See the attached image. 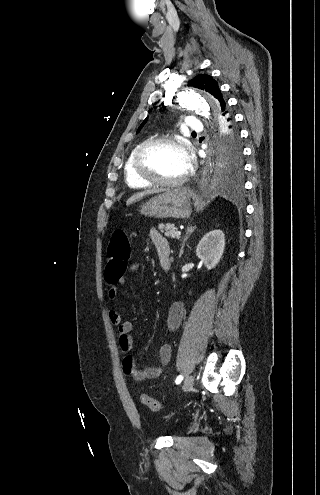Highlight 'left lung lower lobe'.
<instances>
[{"label": "left lung lower lobe", "mask_w": 320, "mask_h": 495, "mask_svg": "<svg viewBox=\"0 0 320 495\" xmlns=\"http://www.w3.org/2000/svg\"><path fill=\"white\" fill-rule=\"evenodd\" d=\"M220 119H221L220 122L225 123L228 128H230L234 125V119L228 111H225L224 113H222L220 115Z\"/></svg>", "instance_id": "left-lung-lower-lobe-1"}]
</instances>
